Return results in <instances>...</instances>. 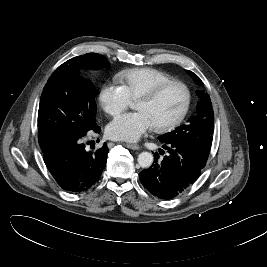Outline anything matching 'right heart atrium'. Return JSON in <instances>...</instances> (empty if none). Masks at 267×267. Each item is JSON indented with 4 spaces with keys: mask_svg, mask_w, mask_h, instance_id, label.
<instances>
[{
    "mask_svg": "<svg viewBox=\"0 0 267 267\" xmlns=\"http://www.w3.org/2000/svg\"><path fill=\"white\" fill-rule=\"evenodd\" d=\"M99 102L104 112L110 116L118 115L131 104L123 86L114 83H106L101 87Z\"/></svg>",
    "mask_w": 267,
    "mask_h": 267,
    "instance_id": "1",
    "label": "right heart atrium"
}]
</instances>
